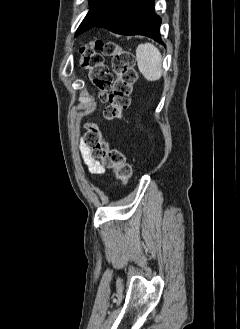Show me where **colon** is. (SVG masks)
Wrapping results in <instances>:
<instances>
[{"label": "colon", "instance_id": "5ec220e1", "mask_svg": "<svg viewBox=\"0 0 240 329\" xmlns=\"http://www.w3.org/2000/svg\"><path fill=\"white\" fill-rule=\"evenodd\" d=\"M103 54L112 57V72L115 78L105 65ZM80 55L81 67L88 70L89 79L99 90L101 100L108 103L105 117L108 120L119 118L130 105L132 88L137 78L133 53L114 42L97 40L94 47L82 46ZM84 144L93 158L99 159L105 167L113 169L118 180L122 183L129 181L132 176L131 165L121 150L110 147L95 123L87 125Z\"/></svg>", "mask_w": 240, "mask_h": 329}]
</instances>
